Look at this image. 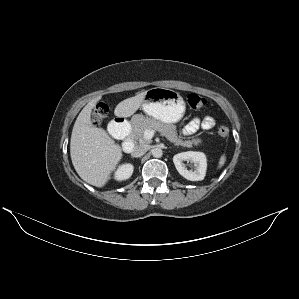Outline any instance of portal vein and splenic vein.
Segmentation results:
<instances>
[{
	"label": "portal vein and splenic vein",
	"instance_id": "obj_1",
	"mask_svg": "<svg viewBox=\"0 0 299 299\" xmlns=\"http://www.w3.org/2000/svg\"><path fill=\"white\" fill-rule=\"evenodd\" d=\"M155 133H156L155 130H145L144 139L151 140Z\"/></svg>",
	"mask_w": 299,
	"mask_h": 299
}]
</instances>
